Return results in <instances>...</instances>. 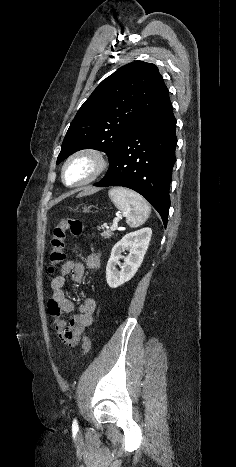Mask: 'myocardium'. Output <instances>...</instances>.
Instances as JSON below:
<instances>
[{"instance_id":"obj_1","label":"myocardium","mask_w":236,"mask_h":467,"mask_svg":"<svg viewBox=\"0 0 236 467\" xmlns=\"http://www.w3.org/2000/svg\"><path fill=\"white\" fill-rule=\"evenodd\" d=\"M83 156L90 157V158H92L94 160L95 170L93 171V173L87 179H85L83 181H80V182H77V183L68 184L65 181V171H66L67 166L74 159L79 158V157H83ZM108 165H109L108 157L102 150H100L98 148H94V147L81 148V149L75 151L74 153H72L65 160V162H64V164L62 166V170H61V178H62L63 183L68 187L84 186V185L90 184L93 181H95L96 179H98L106 171Z\"/></svg>"}]
</instances>
